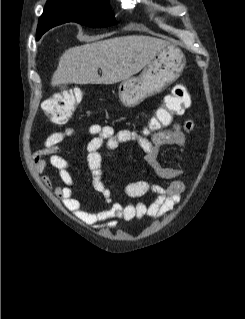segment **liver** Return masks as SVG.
Listing matches in <instances>:
<instances>
[{"instance_id":"6515ba94","label":"liver","mask_w":245,"mask_h":319,"mask_svg":"<svg viewBox=\"0 0 245 319\" xmlns=\"http://www.w3.org/2000/svg\"><path fill=\"white\" fill-rule=\"evenodd\" d=\"M169 42L128 35L76 46L59 58L51 85L114 84L141 71ZM101 68L102 76L98 75Z\"/></svg>"}]
</instances>
